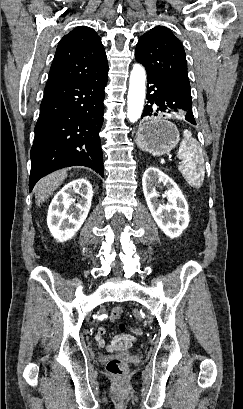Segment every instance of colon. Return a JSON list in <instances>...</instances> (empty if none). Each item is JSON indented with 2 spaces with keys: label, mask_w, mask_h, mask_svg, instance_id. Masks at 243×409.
<instances>
[{
  "label": "colon",
  "mask_w": 243,
  "mask_h": 409,
  "mask_svg": "<svg viewBox=\"0 0 243 409\" xmlns=\"http://www.w3.org/2000/svg\"><path fill=\"white\" fill-rule=\"evenodd\" d=\"M122 312L123 310L121 307H114L110 313L111 319L113 321H117L121 317ZM119 329L121 331H124L125 330L124 324H120ZM134 332L138 333L139 331L137 329H134ZM106 369L111 376L115 378H121L125 375L127 371V365L123 360L114 358L107 363Z\"/></svg>",
  "instance_id": "5ec220e1"
}]
</instances>
